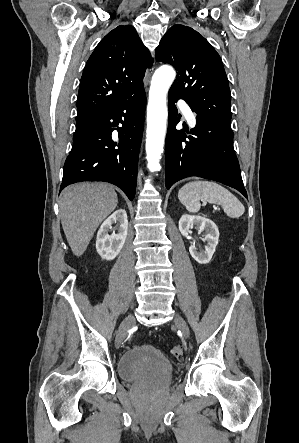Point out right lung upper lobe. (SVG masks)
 <instances>
[{
    "instance_id": "right-lung-upper-lobe-1",
    "label": "right lung upper lobe",
    "mask_w": 299,
    "mask_h": 443,
    "mask_svg": "<svg viewBox=\"0 0 299 443\" xmlns=\"http://www.w3.org/2000/svg\"><path fill=\"white\" fill-rule=\"evenodd\" d=\"M153 59L131 25L110 31L88 59L77 100V123L93 120L143 89Z\"/></svg>"
}]
</instances>
